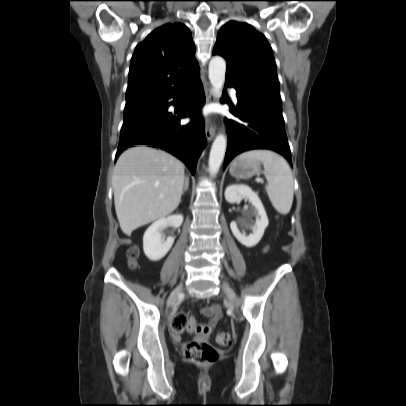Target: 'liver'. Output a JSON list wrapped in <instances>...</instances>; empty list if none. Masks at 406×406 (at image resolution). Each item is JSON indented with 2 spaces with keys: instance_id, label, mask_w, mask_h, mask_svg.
<instances>
[{
  "instance_id": "6515ba94",
  "label": "liver",
  "mask_w": 406,
  "mask_h": 406,
  "mask_svg": "<svg viewBox=\"0 0 406 406\" xmlns=\"http://www.w3.org/2000/svg\"><path fill=\"white\" fill-rule=\"evenodd\" d=\"M184 164L169 153L137 146L121 154L112 186L120 228L126 235L165 218L179 205L184 185Z\"/></svg>"
}]
</instances>
